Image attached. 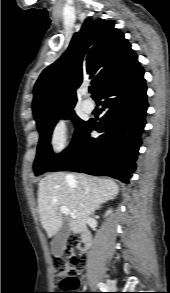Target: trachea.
Returning <instances> with one entry per match:
<instances>
[{
  "mask_svg": "<svg viewBox=\"0 0 170 293\" xmlns=\"http://www.w3.org/2000/svg\"><path fill=\"white\" fill-rule=\"evenodd\" d=\"M92 91H93V88H89V92L92 93Z\"/></svg>",
  "mask_w": 170,
  "mask_h": 293,
  "instance_id": "obj_1",
  "label": "trachea"
}]
</instances>
